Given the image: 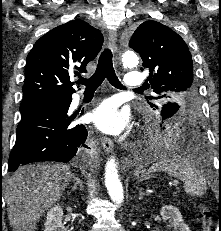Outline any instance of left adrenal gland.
Returning a JSON list of instances; mask_svg holds the SVG:
<instances>
[{
    "label": "left adrenal gland",
    "instance_id": "1",
    "mask_svg": "<svg viewBox=\"0 0 221 231\" xmlns=\"http://www.w3.org/2000/svg\"><path fill=\"white\" fill-rule=\"evenodd\" d=\"M144 195H147V193L143 192V189L140 188L139 189V199L141 200L143 198Z\"/></svg>",
    "mask_w": 221,
    "mask_h": 231
}]
</instances>
